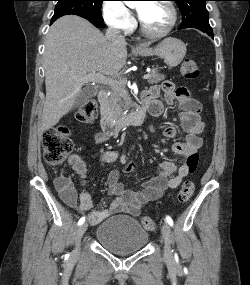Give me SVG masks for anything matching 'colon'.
<instances>
[{"mask_svg":"<svg viewBox=\"0 0 250 285\" xmlns=\"http://www.w3.org/2000/svg\"><path fill=\"white\" fill-rule=\"evenodd\" d=\"M181 73L186 79H195L199 76V68L192 59H185L181 65ZM97 115V103L94 99L87 100L78 110L77 117L82 122H91ZM73 150V143L66 127L51 128L43 134V154L45 161L51 166L62 164ZM198 154H191L186 163L190 173L195 172L198 165ZM194 193V184L186 181L178 192V200L187 202ZM141 224L144 229L153 231L156 228L155 221L149 216H143Z\"/></svg>","mask_w":250,"mask_h":285,"instance_id":"colon-1","label":"colon"}]
</instances>
